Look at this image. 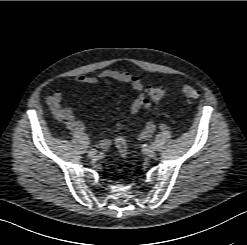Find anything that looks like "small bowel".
I'll return each instance as SVG.
<instances>
[{"label": "small bowel", "instance_id": "1", "mask_svg": "<svg viewBox=\"0 0 247 245\" xmlns=\"http://www.w3.org/2000/svg\"><path fill=\"white\" fill-rule=\"evenodd\" d=\"M101 80H114L131 86L136 92L137 97L134 99L130 106V114L136 115L143 110L148 113L151 110V102L146 97V91L148 90L147 84L138 78L136 75L122 71L118 69H105L98 75H80L76 78V82L79 84L94 85ZM63 95L59 90L54 91L48 98L47 104L54 115V117L61 121L72 133L81 134L85 132V124L80 120H77L74 112L69 107H64L62 104ZM116 130L121 128V122L117 120L115 125ZM156 126L152 120L145 122L144 128L141 130L138 136V142H143L149 139L155 132ZM111 142L108 138H104L100 142V146L103 149H107Z\"/></svg>", "mask_w": 247, "mask_h": 245}]
</instances>
